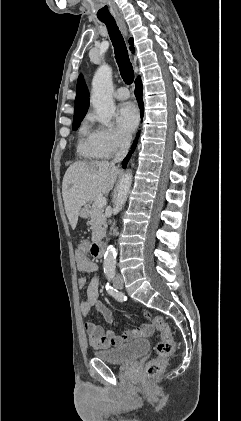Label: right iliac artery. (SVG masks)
I'll return each mask as SVG.
<instances>
[{
    "label": "right iliac artery",
    "mask_w": 241,
    "mask_h": 421,
    "mask_svg": "<svg viewBox=\"0 0 241 421\" xmlns=\"http://www.w3.org/2000/svg\"><path fill=\"white\" fill-rule=\"evenodd\" d=\"M107 292L114 297L116 300L123 302L127 300V297L124 296L122 293L118 292L115 288H113L109 283L106 285Z\"/></svg>",
    "instance_id": "82829eb1"
}]
</instances>
